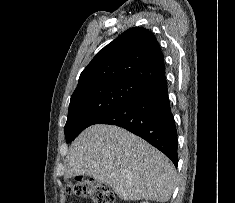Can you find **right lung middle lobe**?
I'll return each mask as SVG.
<instances>
[{
  "instance_id": "1",
  "label": "right lung middle lobe",
  "mask_w": 235,
  "mask_h": 203,
  "mask_svg": "<svg viewBox=\"0 0 235 203\" xmlns=\"http://www.w3.org/2000/svg\"><path fill=\"white\" fill-rule=\"evenodd\" d=\"M145 87L131 81H107L74 91L64 129L67 143Z\"/></svg>"
}]
</instances>
